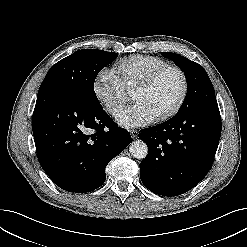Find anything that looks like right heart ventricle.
I'll return each instance as SVG.
<instances>
[{
    "label": "right heart ventricle",
    "mask_w": 247,
    "mask_h": 247,
    "mask_svg": "<svg viewBox=\"0 0 247 247\" xmlns=\"http://www.w3.org/2000/svg\"><path fill=\"white\" fill-rule=\"evenodd\" d=\"M166 65L168 63L159 57L136 55L119 60L112 72L125 90L135 87L148 74Z\"/></svg>",
    "instance_id": "right-heart-ventricle-1"
}]
</instances>
